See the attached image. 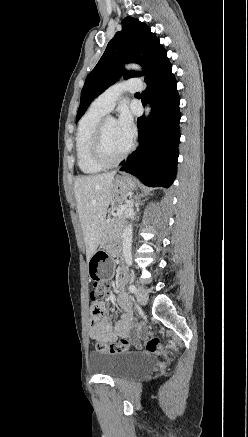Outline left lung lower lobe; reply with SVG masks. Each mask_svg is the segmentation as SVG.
Segmentation results:
<instances>
[{"instance_id": "obj_1", "label": "left lung lower lobe", "mask_w": 248, "mask_h": 437, "mask_svg": "<svg viewBox=\"0 0 248 437\" xmlns=\"http://www.w3.org/2000/svg\"><path fill=\"white\" fill-rule=\"evenodd\" d=\"M171 69L169 62L146 81L142 102L151 103V115L147 120L144 116L138 118L139 147L120 169L152 187H169L177 170L180 98Z\"/></svg>"}]
</instances>
